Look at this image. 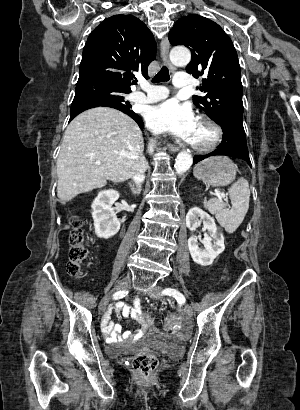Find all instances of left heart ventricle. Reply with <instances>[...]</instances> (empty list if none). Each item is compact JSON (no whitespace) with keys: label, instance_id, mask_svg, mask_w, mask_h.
<instances>
[{"label":"left heart ventricle","instance_id":"b2bd125f","mask_svg":"<svg viewBox=\"0 0 300 410\" xmlns=\"http://www.w3.org/2000/svg\"><path fill=\"white\" fill-rule=\"evenodd\" d=\"M212 138L213 131L208 126L198 121L197 128L191 142L195 144H206L210 142Z\"/></svg>","mask_w":300,"mask_h":410}]
</instances>
